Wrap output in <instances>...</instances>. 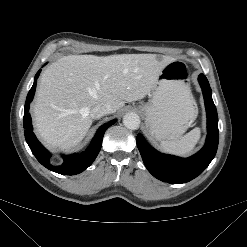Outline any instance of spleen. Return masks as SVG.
I'll return each mask as SVG.
<instances>
[{"instance_id":"spleen-1","label":"spleen","mask_w":247,"mask_h":247,"mask_svg":"<svg viewBox=\"0 0 247 247\" xmlns=\"http://www.w3.org/2000/svg\"><path fill=\"white\" fill-rule=\"evenodd\" d=\"M188 102L191 105H194V101L192 100L190 94L187 95ZM201 135L200 128H194L187 134H185L183 137H181L179 140H172V141H162L161 147L165 152L179 155V156H185L190 154L193 150L196 144L198 143Z\"/></svg>"}]
</instances>
